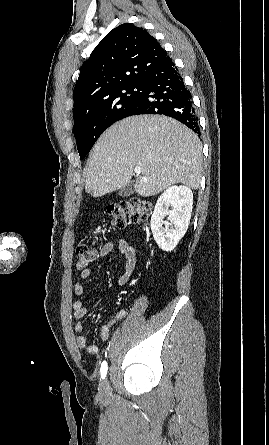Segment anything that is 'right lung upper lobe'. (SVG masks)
I'll return each mask as SVG.
<instances>
[{"instance_id":"cb5924a9","label":"right lung upper lobe","mask_w":269,"mask_h":445,"mask_svg":"<svg viewBox=\"0 0 269 445\" xmlns=\"http://www.w3.org/2000/svg\"><path fill=\"white\" fill-rule=\"evenodd\" d=\"M170 60L145 29L124 23L111 30L82 65L74 88V109L89 99L122 86L142 84Z\"/></svg>"}]
</instances>
